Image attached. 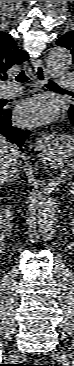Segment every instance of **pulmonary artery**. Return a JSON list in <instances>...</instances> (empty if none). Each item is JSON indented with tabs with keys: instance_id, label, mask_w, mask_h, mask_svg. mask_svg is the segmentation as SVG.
I'll use <instances>...</instances> for the list:
<instances>
[{
	"instance_id": "e3ab8cb5",
	"label": "pulmonary artery",
	"mask_w": 74,
	"mask_h": 366,
	"mask_svg": "<svg viewBox=\"0 0 74 366\" xmlns=\"http://www.w3.org/2000/svg\"><path fill=\"white\" fill-rule=\"evenodd\" d=\"M58 80H59V87L60 88H71L74 85L73 79L65 74V73H59L58 74ZM21 88L15 86V85H8L2 90V95L7 98L14 97L18 94H20Z\"/></svg>"
}]
</instances>
